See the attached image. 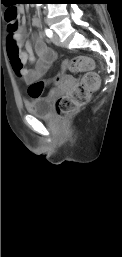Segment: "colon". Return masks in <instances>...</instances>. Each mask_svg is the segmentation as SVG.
<instances>
[{"mask_svg":"<svg viewBox=\"0 0 122 257\" xmlns=\"http://www.w3.org/2000/svg\"><path fill=\"white\" fill-rule=\"evenodd\" d=\"M5 19L9 31L13 32L18 26V5H3ZM9 52V50H8ZM94 61L86 56H77L62 63L60 70L53 74V79H38V82L28 83V98H48L58 84H62L65 75L86 72L81 82L75 85L66 95L56 101V113L60 118L66 119L76 110L85 105L91 94L99 87V76L94 73Z\"/></svg>","mask_w":122,"mask_h":257,"instance_id":"1","label":"colon"}]
</instances>
